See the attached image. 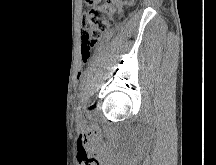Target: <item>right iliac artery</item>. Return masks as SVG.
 Here are the masks:
<instances>
[{"instance_id": "right-iliac-artery-1", "label": "right iliac artery", "mask_w": 216, "mask_h": 165, "mask_svg": "<svg viewBox=\"0 0 216 165\" xmlns=\"http://www.w3.org/2000/svg\"><path fill=\"white\" fill-rule=\"evenodd\" d=\"M77 110L80 111V107H78Z\"/></svg>"}]
</instances>
